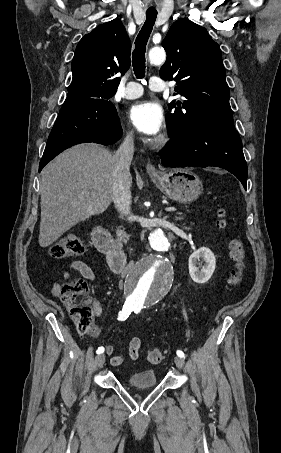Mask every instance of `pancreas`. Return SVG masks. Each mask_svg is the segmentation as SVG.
I'll list each match as a JSON object with an SVG mask.
<instances>
[{
	"label": "pancreas",
	"mask_w": 281,
	"mask_h": 453,
	"mask_svg": "<svg viewBox=\"0 0 281 453\" xmlns=\"http://www.w3.org/2000/svg\"><path fill=\"white\" fill-rule=\"evenodd\" d=\"M116 235L118 239H122V241H127L129 235H126L125 231H121V229H117Z\"/></svg>",
	"instance_id": "pancreas-1"
}]
</instances>
